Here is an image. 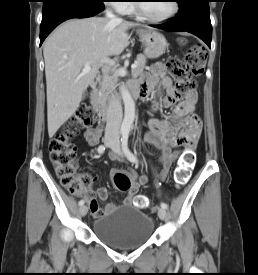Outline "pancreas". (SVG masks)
I'll return each mask as SVG.
<instances>
[{"label": "pancreas", "mask_w": 258, "mask_h": 275, "mask_svg": "<svg viewBox=\"0 0 258 275\" xmlns=\"http://www.w3.org/2000/svg\"><path fill=\"white\" fill-rule=\"evenodd\" d=\"M146 61H147V59L144 55L140 54L137 56V58H136L137 66L134 69H132V71H131L133 77H137L141 73H143V70L145 69V66H146ZM117 81H118V77L116 75H113L112 77L107 78L106 80H104L102 82L99 89L97 90V92L102 100L108 99V95H109L111 89L116 86Z\"/></svg>", "instance_id": "obj_1"}]
</instances>
